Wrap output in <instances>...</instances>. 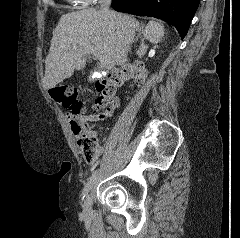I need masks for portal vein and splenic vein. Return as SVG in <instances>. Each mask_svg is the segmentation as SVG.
Masks as SVG:
<instances>
[{
	"instance_id": "18ae733b",
	"label": "portal vein and splenic vein",
	"mask_w": 240,
	"mask_h": 238,
	"mask_svg": "<svg viewBox=\"0 0 240 238\" xmlns=\"http://www.w3.org/2000/svg\"><path fill=\"white\" fill-rule=\"evenodd\" d=\"M86 53L95 55L102 63L103 67L109 69L113 66V63L109 61L104 55L101 54L100 51L95 47H88Z\"/></svg>"
}]
</instances>
